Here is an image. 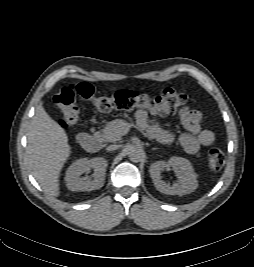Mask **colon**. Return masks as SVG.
I'll list each match as a JSON object with an SVG mask.
<instances>
[{
    "mask_svg": "<svg viewBox=\"0 0 254 267\" xmlns=\"http://www.w3.org/2000/svg\"><path fill=\"white\" fill-rule=\"evenodd\" d=\"M77 99L91 103L101 112L115 109L146 110L158 116L173 114L187 102V96L174 88H165L156 96H147L131 90H119L110 96H100L88 83L68 84L54 96V102L62 112L59 119L62 128H69L77 123ZM207 160L212 170L219 171L225 164V155L220 149L213 148L208 152Z\"/></svg>",
    "mask_w": 254,
    "mask_h": 267,
    "instance_id": "1",
    "label": "colon"
}]
</instances>
